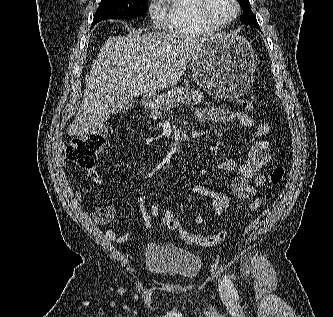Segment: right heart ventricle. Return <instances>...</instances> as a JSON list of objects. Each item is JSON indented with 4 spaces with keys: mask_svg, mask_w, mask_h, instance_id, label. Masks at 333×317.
Wrapping results in <instances>:
<instances>
[{
    "mask_svg": "<svg viewBox=\"0 0 333 317\" xmlns=\"http://www.w3.org/2000/svg\"><path fill=\"white\" fill-rule=\"evenodd\" d=\"M161 15L164 30L176 36L199 37L217 30L199 20L196 0H161Z\"/></svg>",
    "mask_w": 333,
    "mask_h": 317,
    "instance_id": "right-heart-ventricle-1",
    "label": "right heart ventricle"
}]
</instances>
